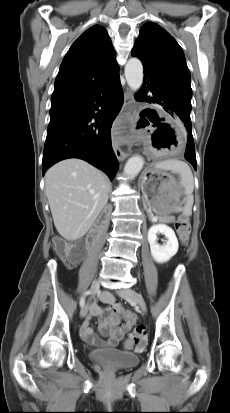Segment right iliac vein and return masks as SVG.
Returning a JSON list of instances; mask_svg holds the SVG:
<instances>
[{
	"instance_id": "63e3f726",
	"label": "right iliac vein",
	"mask_w": 230,
	"mask_h": 413,
	"mask_svg": "<svg viewBox=\"0 0 230 413\" xmlns=\"http://www.w3.org/2000/svg\"><path fill=\"white\" fill-rule=\"evenodd\" d=\"M99 288H100V281H99V280H94V281L92 282L91 288H90L91 297H93V296L95 295V293L99 290ZM88 308H89V302L86 303V304L82 307V309H81V311H80V316H81L82 318L86 316V314H87V312H88Z\"/></svg>"
}]
</instances>
